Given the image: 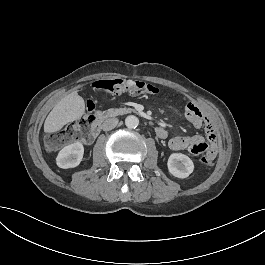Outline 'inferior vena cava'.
<instances>
[{
  "mask_svg": "<svg viewBox=\"0 0 265 265\" xmlns=\"http://www.w3.org/2000/svg\"><path fill=\"white\" fill-rule=\"evenodd\" d=\"M118 121L119 120L117 118H108L103 122L102 129L104 131L112 130L117 126Z\"/></svg>",
  "mask_w": 265,
  "mask_h": 265,
  "instance_id": "1",
  "label": "inferior vena cava"
}]
</instances>
